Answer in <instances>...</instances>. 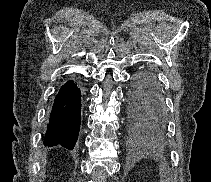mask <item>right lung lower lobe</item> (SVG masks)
Segmentation results:
<instances>
[{
  "mask_svg": "<svg viewBox=\"0 0 211 182\" xmlns=\"http://www.w3.org/2000/svg\"><path fill=\"white\" fill-rule=\"evenodd\" d=\"M81 124V93L74 81L65 83L57 94L50 114L44 145L73 149Z\"/></svg>",
  "mask_w": 211,
  "mask_h": 182,
  "instance_id": "98d812e1",
  "label": "right lung lower lobe"
}]
</instances>
